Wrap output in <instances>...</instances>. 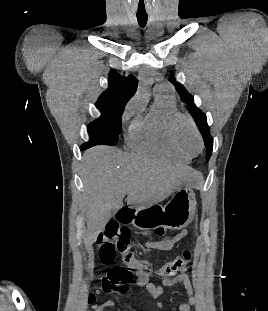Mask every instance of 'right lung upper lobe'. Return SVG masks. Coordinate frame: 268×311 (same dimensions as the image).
I'll return each mask as SVG.
<instances>
[{"label":"right lung upper lobe","instance_id":"cb5924a9","mask_svg":"<svg viewBox=\"0 0 268 311\" xmlns=\"http://www.w3.org/2000/svg\"><path fill=\"white\" fill-rule=\"evenodd\" d=\"M138 80L129 75L121 76L116 71L109 73V87L98 98L96 104L124 110L127 102L135 94Z\"/></svg>","mask_w":268,"mask_h":311}]
</instances>
